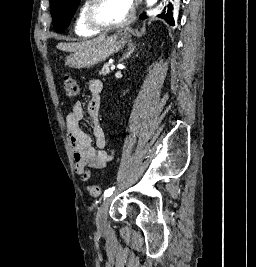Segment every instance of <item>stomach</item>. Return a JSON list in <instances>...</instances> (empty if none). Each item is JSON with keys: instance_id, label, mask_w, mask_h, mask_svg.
<instances>
[{"instance_id": "1", "label": "stomach", "mask_w": 256, "mask_h": 267, "mask_svg": "<svg viewBox=\"0 0 256 267\" xmlns=\"http://www.w3.org/2000/svg\"><path fill=\"white\" fill-rule=\"evenodd\" d=\"M130 40L129 32L119 30L117 34L106 36L99 44H89L82 52H75L67 56V67L72 68H91L100 62L107 60L109 56L117 54Z\"/></svg>"}]
</instances>
